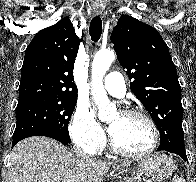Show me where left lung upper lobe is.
<instances>
[{
    "label": "left lung upper lobe",
    "mask_w": 196,
    "mask_h": 182,
    "mask_svg": "<svg viewBox=\"0 0 196 182\" xmlns=\"http://www.w3.org/2000/svg\"><path fill=\"white\" fill-rule=\"evenodd\" d=\"M118 61L126 69L130 87L155 122L160 149L185 148L183 107L175 65L159 32L122 15L111 33Z\"/></svg>",
    "instance_id": "1"
}]
</instances>
